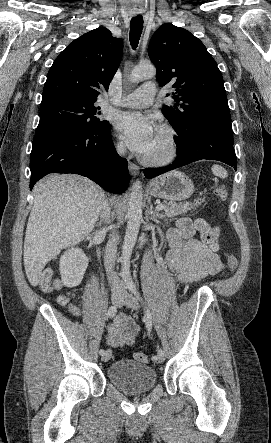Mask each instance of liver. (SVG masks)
<instances>
[{"label":"liver","instance_id":"liver-1","mask_svg":"<svg viewBox=\"0 0 271 443\" xmlns=\"http://www.w3.org/2000/svg\"><path fill=\"white\" fill-rule=\"evenodd\" d=\"M34 206L24 239V267L31 285H38L46 263L63 247L89 235L105 202V192L76 174H54L33 188Z\"/></svg>","mask_w":271,"mask_h":443}]
</instances>
